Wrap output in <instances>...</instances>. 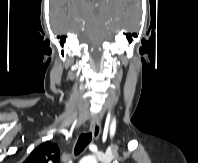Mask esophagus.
Here are the masks:
<instances>
[{"label": "esophagus", "mask_w": 198, "mask_h": 163, "mask_svg": "<svg viewBox=\"0 0 198 163\" xmlns=\"http://www.w3.org/2000/svg\"><path fill=\"white\" fill-rule=\"evenodd\" d=\"M90 131L92 132L93 139L97 140L101 133V126L99 120H92L90 124Z\"/></svg>", "instance_id": "obj_1"}]
</instances>
